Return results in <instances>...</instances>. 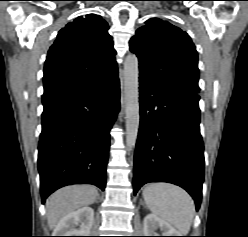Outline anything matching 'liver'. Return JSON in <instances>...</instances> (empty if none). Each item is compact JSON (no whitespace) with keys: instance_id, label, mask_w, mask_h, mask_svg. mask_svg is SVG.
<instances>
[{"instance_id":"obj_1","label":"liver","mask_w":248,"mask_h":237,"mask_svg":"<svg viewBox=\"0 0 248 237\" xmlns=\"http://www.w3.org/2000/svg\"><path fill=\"white\" fill-rule=\"evenodd\" d=\"M97 197V189L90 185L67 186L56 191L46 201L49 228L55 229L64 216L93 204Z\"/></svg>"}]
</instances>
